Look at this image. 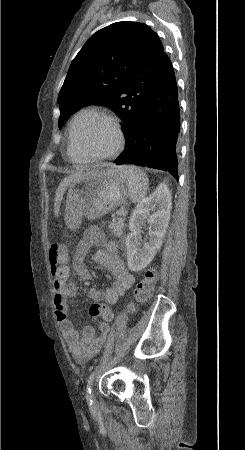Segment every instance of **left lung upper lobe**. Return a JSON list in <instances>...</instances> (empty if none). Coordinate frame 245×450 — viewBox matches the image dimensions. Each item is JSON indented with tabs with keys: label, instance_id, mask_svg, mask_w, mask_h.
Segmentation results:
<instances>
[{
	"label": "left lung upper lobe",
	"instance_id": "left-lung-upper-lobe-1",
	"mask_svg": "<svg viewBox=\"0 0 245 450\" xmlns=\"http://www.w3.org/2000/svg\"><path fill=\"white\" fill-rule=\"evenodd\" d=\"M170 59L147 25L117 22L96 32L72 61L58 103L61 128L78 108L102 104L123 121L126 141Z\"/></svg>",
	"mask_w": 245,
	"mask_h": 450
}]
</instances>
